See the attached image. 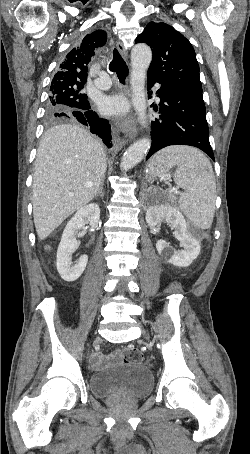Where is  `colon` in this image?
Listing matches in <instances>:
<instances>
[{"instance_id": "5ec220e1", "label": "colon", "mask_w": 250, "mask_h": 454, "mask_svg": "<svg viewBox=\"0 0 250 454\" xmlns=\"http://www.w3.org/2000/svg\"><path fill=\"white\" fill-rule=\"evenodd\" d=\"M124 362L140 363L143 360L142 353L135 347H127L119 352Z\"/></svg>"}]
</instances>
